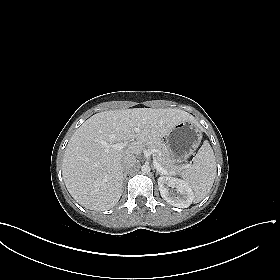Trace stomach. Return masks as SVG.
I'll use <instances>...</instances> for the list:
<instances>
[{
  "instance_id": "obj_1",
  "label": "stomach",
  "mask_w": 280,
  "mask_h": 280,
  "mask_svg": "<svg viewBox=\"0 0 280 280\" xmlns=\"http://www.w3.org/2000/svg\"><path fill=\"white\" fill-rule=\"evenodd\" d=\"M202 139L199 127L191 121L178 123L166 136V146L177 162L191 156Z\"/></svg>"
}]
</instances>
